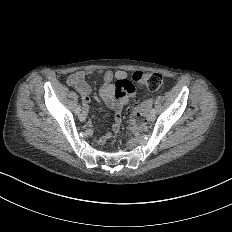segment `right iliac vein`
<instances>
[{
    "label": "right iliac vein",
    "mask_w": 232,
    "mask_h": 232,
    "mask_svg": "<svg viewBox=\"0 0 232 232\" xmlns=\"http://www.w3.org/2000/svg\"><path fill=\"white\" fill-rule=\"evenodd\" d=\"M78 121H79V122H84V121H85V115H84L83 113H80V114L78 115Z\"/></svg>",
    "instance_id": "obj_1"
}]
</instances>
